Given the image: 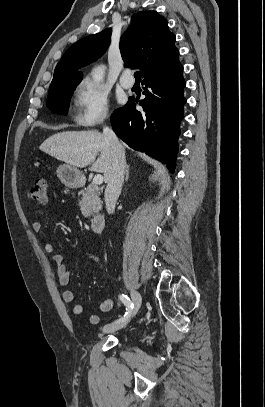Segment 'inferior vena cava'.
Instances as JSON below:
<instances>
[{
  "label": "inferior vena cava",
  "mask_w": 265,
  "mask_h": 407,
  "mask_svg": "<svg viewBox=\"0 0 265 407\" xmlns=\"http://www.w3.org/2000/svg\"><path fill=\"white\" fill-rule=\"evenodd\" d=\"M103 135L112 151V170L106 181L105 204L109 214L114 212L116 201L121 193L126 167L125 153L113 130L107 126L103 128Z\"/></svg>",
  "instance_id": "602c4592"
}]
</instances>
